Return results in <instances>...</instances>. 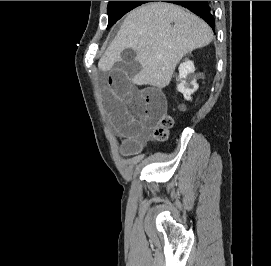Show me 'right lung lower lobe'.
<instances>
[{
	"label": "right lung lower lobe",
	"instance_id": "right-lung-lower-lobe-1",
	"mask_svg": "<svg viewBox=\"0 0 271 266\" xmlns=\"http://www.w3.org/2000/svg\"><path fill=\"white\" fill-rule=\"evenodd\" d=\"M181 5L204 19L214 29L215 19L209 1H164Z\"/></svg>",
	"mask_w": 271,
	"mask_h": 266
}]
</instances>
